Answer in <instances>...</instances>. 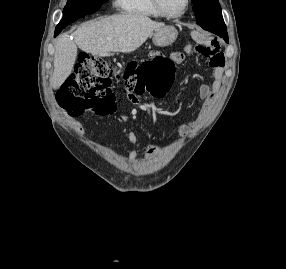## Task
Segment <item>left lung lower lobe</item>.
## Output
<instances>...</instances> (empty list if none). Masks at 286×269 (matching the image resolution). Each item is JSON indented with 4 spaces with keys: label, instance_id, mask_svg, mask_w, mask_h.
Instances as JSON below:
<instances>
[{
    "label": "left lung lower lobe",
    "instance_id": "1",
    "mask_svg": "<svg viewBox=\"0 0 286 269\" xmlns=\"http://www.w3.org/2000/svg\"><path fill=\"white\" fill-rule=\"evenodd\" d=\"M218 36L224 38V40L228 43V34L225 33V34H219Z\"/></svg>",
    "mask_w": 286,
    "mask_h": 269
}]
</instances>
